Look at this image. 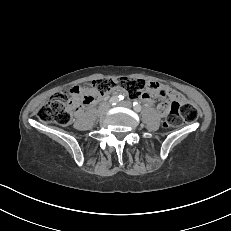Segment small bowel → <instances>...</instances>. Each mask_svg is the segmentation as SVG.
I'll return each instance as SVG.
<instances>
[{
	"instance_id": "obj_1",
	"label": "small bowel",
	"mask_w": 231,
	"mask_h": 231,
	"mask_svg": "<svg viewBox=\"0 0 231 231\" xmlns=\"http://www.w3.org/2000/svg\"><path fill=\"white\" fill-rule=\"evenodd\" d=\"M148 88L149 90L146 91L142 96L141 99L143 102L147 103V104H152L153 103V96H168L171 100L173 101H178V102H182L184 100L183 96L175 91L172 90L168 87L165 86H161L158 85L156 83H149L148 84ZM113 92H119L120 89L119 88H115L112 90ZM89 95V91L87 90L86 87H78V91L74 94V102H75V108L77 110H79V107L83 104L89 105L92 104L93 102H95L96 100H98L100 98L99 94H94L92 95V99L89 103L85 102V97ZM164 108H165V104H160L159 105V110L161 111V113H164Z\"/></svg>"
}]
</instances>
